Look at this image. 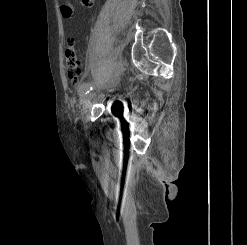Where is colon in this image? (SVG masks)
Masks as SVG:
<instances>
[{"label":"colon","instance_id":"obj_1","mask_svg":"<svg viewBox=\"0 0 247 245\" xmlns=\"http://www.w3.org/2000/svg\"><path fill=\"white\" fill-rule=\"evenodd\" d=\"M65 63L67 77L72 83H77L81 75V63L76 51V40L68 38L65 48Z\"/></svg>","mask_w":247,"mask_h":245}]
</instances>
